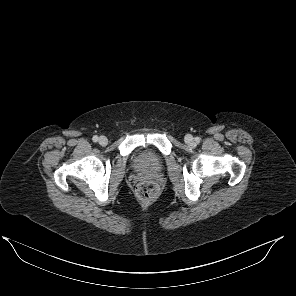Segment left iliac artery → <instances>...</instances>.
<instances>
[{
	"label": "left iliac artery",
	"mask_w": 296,
	"mask_h": 296,
	"mask_svg": "<svg viewBox=\"0 0 296 296\" xmlns=\"http://www.w3.org/2000/svg\"><path fill=\"white\" fill-rule=\"evenodd\" d=\"M195 142H196V143H199V142H200V139H199L198 137H196V138H195Z\"/></svg>",
	"instance_id": "44dca946"
}]
</instances>
